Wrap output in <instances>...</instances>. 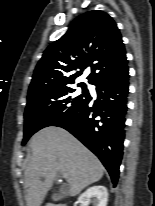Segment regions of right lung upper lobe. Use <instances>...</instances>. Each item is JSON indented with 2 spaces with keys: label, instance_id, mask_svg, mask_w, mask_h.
Here are the masks:
<instances>
[{
  "label": "right lung upper lobe",
  "instance_id": "obj_1",
  "mask_svg": "<svg viewBox=\"0 0 155 206\" xmlns=\"http://www.w3.org/2000/svg\"><path fill=\"white\" fill-rule=\"evenodd\" d=\"M126 66L124 44L114 20L104 12L89 11L76 18L66 34L45 50L28 96L71 85L87 67H91L89 83L98 85ZM76 69L80 71L73 73Z\"/></svg>",
  "mask_w": 155,
  "mask_h": 206
}]
</instances>
